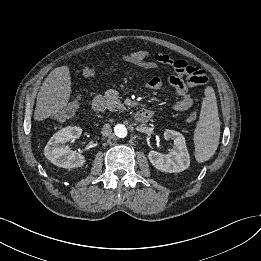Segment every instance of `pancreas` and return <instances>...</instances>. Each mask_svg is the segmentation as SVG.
I'll list each match as a JSON object with an SVG mask.
<instances>
[{
    "label": "pancreas",
    "mask_w": 261,
    "mask_h": 261,
    "mask_svg": "<svg viewBox=\"0 0 261 261\" xmlns=\"http://www.w3.org/2000/svg\"><path fill=\"white\" fill-rule=\"evenodd\" d=\"M106 108L110 111H123L126 107L119 99L118 91L110 89L105 93Z\"/></svg>",
    "instance_id": "obj_1"
}]
</instances>
